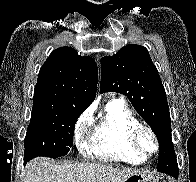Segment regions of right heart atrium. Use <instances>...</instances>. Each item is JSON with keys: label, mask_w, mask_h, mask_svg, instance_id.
Here are the masks:
<instances>
[{"label": "right heart atrium", "mask_w": 196, "mask_h": 182, "mask_svg": "<svg viewBox=\"0 0 196 182\" xmlns=\"http://www.w3.org/2000/svg\"><path fill=\"white\" fill-rule=\"evenodd\" d=\"M91 111L86 110L77 120L75 125V139L78 147H81L88 132L91 121Z\"/></svg>", "instance_id": "d8ad5b80"}]
</instances>
